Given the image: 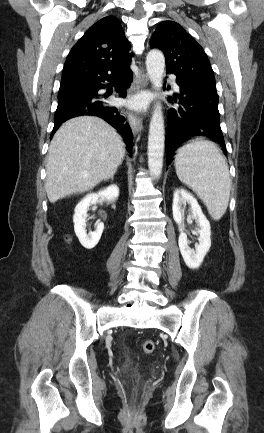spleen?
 Wrapping results in <instances>:
<instances>
[{"label": "spleen", "instance_id": "3e777b00", "mask_svg": "<svg viewBox=\"0 0 264 433\" xmlns=\"http://www.w3.org/2000/svg\"><path fill=\"white\" fill-rule=\"evenodd\" d=\"M175 169L179 180L206 205L214 220L228 207L231 179L226 159L215 143L198 138L178 149Z\"/></svg>", "mask_w": 264, "mask_h": 433}]
</instances>
